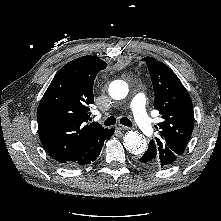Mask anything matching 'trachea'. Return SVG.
<instances>
[{"label": "trachea", "instance_id": "obj_1", "mask_svg": "<svg viewBox=\"0 0 221 221\" xmlns=\"http://www.w3.org/2000/svg\"><path fill=\"white\" fill-rule=\"evenodd\" d=\"M115 123H116V118L114 116H110L109 118L105 120L104 125L111 126V125H114ZM120 123L124 126H128V127L132 126V122L127 117H122L120 119Z\"/></svg>", "mask_w": 221, "mask_h": 221}]
</instances>
